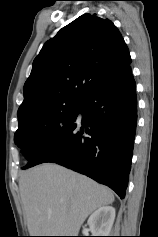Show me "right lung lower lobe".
<instances>
[{
  "label": "right lung lower lobe",
  "instance_id": "obj_1",
  "mask_svg": "<svg viewBox=\"0 0 158 237\" xmlns=\"http://www.w3.org/2000/svg\"><path fill=\"white\" fill-rule=\"evenodd\" d=\"M136 122L135 81L128 66L90 92L73 117L37 148L24 169L58 163L124 198Z\"/></svg>",
  "mask_w": 158,
  "mask_h": 237
}]
</instances>
